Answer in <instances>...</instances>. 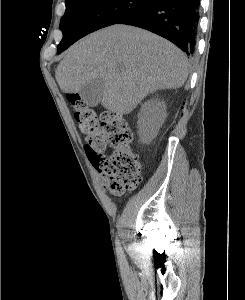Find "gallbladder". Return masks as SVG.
Returning a JSON list of instances; mask_svg holds the SVG:
<instances>
[{
  "mask_svg": "<svg viewBox=\"0 0 245 300\" xmlns=\"http://www.w3.org/2000/svg\"><path fill=\"white\" fill-rule=\"evenodd\" d=\"M104 87L105 81L97 79L82 86L79 93L88 106L96 107L102 98Z\"/></svg>",
  "mask_w": 245,
  "mask_h": 300,
  "instance_id": "obj_1",
  "label": "gallbladder"
}]
</instances>
